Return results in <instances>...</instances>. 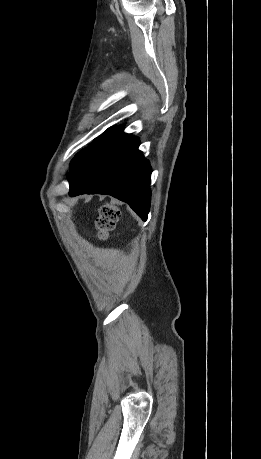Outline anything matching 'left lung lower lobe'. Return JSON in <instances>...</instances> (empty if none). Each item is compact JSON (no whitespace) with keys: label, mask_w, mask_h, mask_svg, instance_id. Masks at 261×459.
Here are the masks:
<instances>
[{"label":"left lung lower lobe","mask_w":261,"mask_h":459,"mask_svg":"<svg viewBox=\"0 0 261 459\" xmlns=\"http://www.w3.org/2000/svg\"><path fill=\"white\" fill-rule=\"evenodd\" d=\"M138 146L139 140L120 128L69 177V195H112L127 202L146 221L151 167Z\"/></svg>","instance_id":"left-lung-lower-lobe-1"}]
</instances>
